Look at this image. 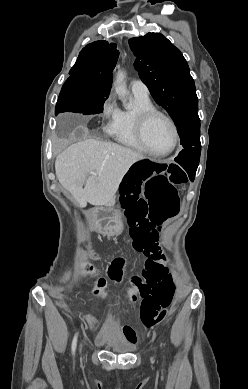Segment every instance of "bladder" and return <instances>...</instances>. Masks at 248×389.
Segmentation results:
<instances>
[{"label":"bladder","mask_w":248,"mask_h":389,"mask_svg":"<svg viewBox=\"0 0 248 389\" xmlns=\"http://www.w3.org/2000/svg\"><path fill=\"white\" fill-rule=\"evenodd\" d=\"M95 342L106 351H110L115 354H128L135 348L134 344L128 342L127 340L107 335L104 332H99L96 335Z\"/></svg>","instance_id":"31cf9c89"}]
</instances>
